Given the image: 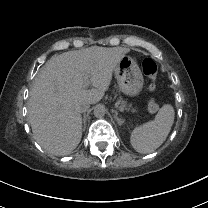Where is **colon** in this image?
<instances>
[{
  "label": "colon",
  "mask_w": 208,
  "mask_h": 208,
  "mask_svg": "<svg viewBox=\"0 0 208 208\" xmlns=\"http://www.w3.org/2000/svg\"><path fill=\"white\" fill-rule=\"evenodd\" d=\"M142 70L149 81L148 91L150 93H154L156 90V80L158 76V68L156 62L150 57L143 58ZM148 107L151 112H156L159 110V105L152 97L148 101Z\"/></svg>",
  "instance_id": "colon-1"
}]
</instances>
